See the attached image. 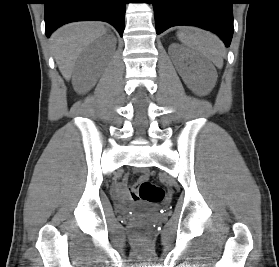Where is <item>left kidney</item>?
Returning a JSON list of instances; mask_svg holds the SVG:
<instances>
[{"label":"left kidney","instance_id":"5707ae66","mask_svg":"<svg viewBox=\"0 0 279 267\" xmlns=\"http://www.w3.org/2000/svg\"><path fill=\"white\" fill-rule=\"evenodd\" d=\"M187 59H190V66L184 63ZM173 62L184 83L194 93L205 94L213 88L211 65L196 53L180 48Z\"/></svg>","mask_w":279,"mask_h":267}]
</instances>
